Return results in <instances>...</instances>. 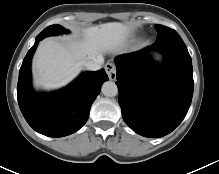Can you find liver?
I'll return each instance as SVG.
<instances>
[{"mask_svg":"<svg viewBox=\"0 0 219 174\" xmlns=\"http://www.w3.org/2000/svg\"><path fill=\"white\" fill-rule=\"evenodd\" d=\"M128 34L126 25L110 22L85 29L82 41H42L33 60L36 84L46 89L67 84L77 76L84 62L92 61L105 52L121 50Z\"/></svg>","mask_w":219,"mask_h":174,"instance_id":"1","label":"liver"}]
</instances>
